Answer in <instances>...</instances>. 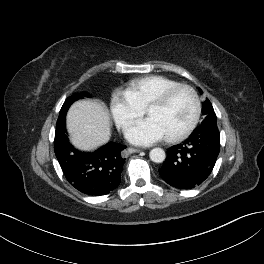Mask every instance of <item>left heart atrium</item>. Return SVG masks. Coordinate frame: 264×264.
<instances>
[{
  "mask_svg": "<svg viewBox=\"0 0 264 264\" xmlns=\"http://www.w3.org/2000/svg\"><path fill=\"white\" fill-rule=\"evenodd\" d=\"M127 139L136 145H149L165 136L160 127L150 118L132 124L126 131Z\"/></svg>",
  "mask_w": 264,
  "mask_h": 264,
  "instance_id": "obj_1",
  "label": "left heart atrium"
}]
</instances>
